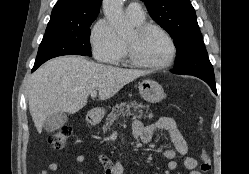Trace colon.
<instances>
[{
  "mask_svg": "<svg viewBox=\"0 0 249 174\" xmlns=\"http://www.w3.org/2000/svg\"><path fill=\"white\" fill-rule=\"evenodd\" d=\"M71 136V129L68 126H63L53 132L48 138V144L53 150L63 149L69 137ZM200 170L202 173L207 174L211 170V158L207 151L202 150L200 153Z\"/></svg>",
  "mask_w": 249,
  "mask_h": 174,
  "instance_id": "5ec220e1",
  "label": "colon"
}]
</instances>
